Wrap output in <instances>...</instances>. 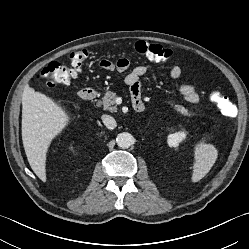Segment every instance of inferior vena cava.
<instances>
[{
    "label": "inferior vena cava",
    "mask_w": 249,
    "mask_h": 249,
    "mask_svg": "<svg viewBox=\"0 0 249 249\" xmlns=\"http://www.w3.org/2000/svg\"><path fill=\"white\" fill-rule=\"evenodd\" d=\"M101 119L104 125L110 130L114 129L117 126L115 119L110 115L104 114L102 115Z\"/></svg>",
    "instance_id": "602c4592"
}]
</instances>
